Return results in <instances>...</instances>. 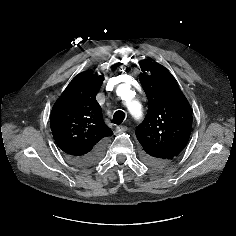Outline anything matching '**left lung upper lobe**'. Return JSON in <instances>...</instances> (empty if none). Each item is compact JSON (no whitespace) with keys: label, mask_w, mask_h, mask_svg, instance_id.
<instances>
[{"label":"left lung upper lobe","mask_w":236,"mask_h":236,"mask_svg":"<svg viewBox=\"0 0 236 236\" xmlns=\"http://www.w3.org/2000/svg\"><path fill=\"white\" fill-rule=\"evenodd\" d=\"M139 79L148 98V112L136 128L142 145V159L149 165L164 167L186 147L192 129L188 100L171 73L151 62H140Z\"/></svg>","instance_id":"1"}]
</instances>
